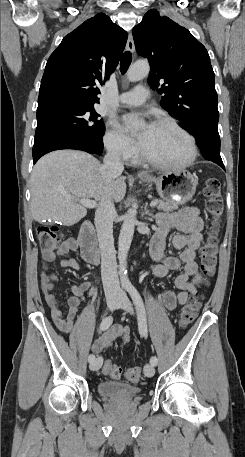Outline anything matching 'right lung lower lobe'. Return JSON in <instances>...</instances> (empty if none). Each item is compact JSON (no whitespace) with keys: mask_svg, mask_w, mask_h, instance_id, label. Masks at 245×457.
<instances>
[{"mask_svg":"<svg viewBox=\"0 0 245 457\" xmlns=\"http://www.w3.org/2000/svg\"><path fill=\"white\" fill-rule=\"evenodd\" d=\"M60 149H76L93 154L91 147L83 140L69 135L55 134L35 140L32 151L33 161L36 163L46 153Z\"/></svg>","mask_w":245,"mask_h":457,"instance_id":"1","label":"right lung lower lobe"}]
</instances>
